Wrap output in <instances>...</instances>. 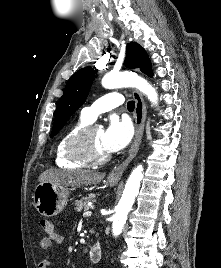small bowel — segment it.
<instances>
[{
  "mask_svg": "<svg viewBox=\"0 0 221 268\" xmlns=\"http://www.w3.org/2000/svg\"><path fill=\"white\" fill-rule=\"evenodd\" d=\"M62 242L63 237L53 228L51 232H47L46 235L40 240L39 247L42 251H48L53 244H61ZM53 264V260L43 259L39 263V268H51Z\"/></svg>",
  "mask_w": 221,
  "mask_h": 268,
  "instance_id": "c3829d8e",
  "label": "small bowel"
}]
</instances>
